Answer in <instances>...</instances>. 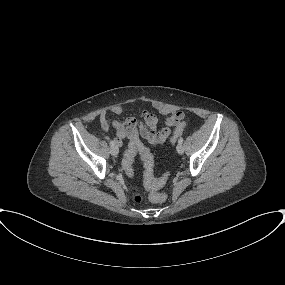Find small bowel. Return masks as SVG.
<instances>
[{
    "mask_svg": "<svg viewBox=\"0 0 285 285\" xmlns=\"http://www.w3.org/2000/svg\"><path fill=\"white\" fill-rule=\"evenodd\" d=\"M124 111V107L121 104L114 105L111 108L113 114L119 115ZM184 114L181 111H177L169 115L162 128L158 129V117L149 111H145L142 114V121L138 126V121L133 118H127L122 122L110 120L106 113H101L99 116L100 126L103 130L113 128L115 130L114 141L117 145H122L124 140H130L131 142L140 143V139L143 138L151 144H162L167 138L178 128H181ZM148 189H153L151 185L146 184Z\"/></svg>",
    "mask_w": 285,
    "mask_h": 285,
    "instance_id": "c3829d8e",
    "label": "small bowel"
}]
</instances>
